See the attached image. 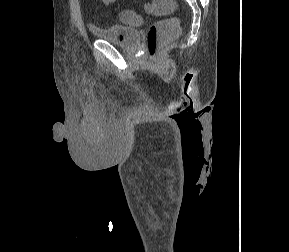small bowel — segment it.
Here are the masks:
<instances>
[{
	"label": "small bowel",
	"mask_w": 289,
	"mask_h": 252,
	"mask_svg": "<svg viewBox=\"0 0 289 252\" xmlns=\"http://www.w3.org/2000/svg\"><path fill=\"white\" fill-rule=\"evenodd\" d=\"M102 3L106 6L113 4L116 0H101Z\"/></svg>",
	"instance_id": "obj_1"
}]
</instances>
